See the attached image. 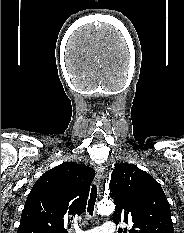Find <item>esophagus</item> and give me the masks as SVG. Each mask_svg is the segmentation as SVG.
I'll use <instances>...</instances> for the list:
<instances>
[{
	"label": "esophagus",
	"mask_w": 184,
	"mask_h": 233,
	"mask_svg": "<svg viewBox=\"0 0 184 233\" xmlns=\"http://www.w3.org/2000/svg\"><path fill=\"white\" fill-rule=\"evenodd\" d=\"M96 174L98 179L99 194L101 195L103 191V183H104V166L102 165L97 166Z\"/></svg>",
	"instance_id": "34e87169"
}]
</instances>
